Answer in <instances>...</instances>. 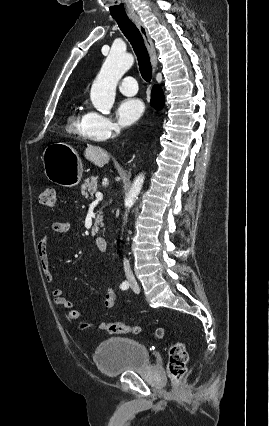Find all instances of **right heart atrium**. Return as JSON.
<instances>
[{"label":"right heart atrium","mask_w":269,"mask_h":426,"mask_svg":"<svg viewBox=\"0 0 269 426\" xmlns=\"http://www.w3.org/2000/svg\"><path fill=\"white\" fill-rule=\"evenodd\" d=\"M119 127L106 115L90 111L85 120V136L95 141H105L118 135Z\"/></svg>","instance_id":"1"}]
</instances>
